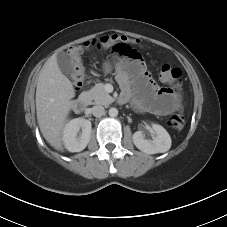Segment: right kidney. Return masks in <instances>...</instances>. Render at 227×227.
<instances>
[{
	"mask_svg": "<svg viewBox=\"0 0 227 227\" xmlns=\"http://www.w3.org/2000/svg\"><path fill=\"white\" fill-rule=\"evenodd\" d=\"M82 133L77 136L79 130ZM91 122L84 118H75L66 123L63 129V143L70 152H80L84 150L91 137Z\"/></svg>",
	"mask_w": 227,
	"mask_h": 227,
	"instance_id": "1",
	"label": "right kidney"
}]
</instances>
